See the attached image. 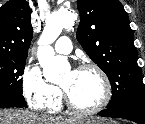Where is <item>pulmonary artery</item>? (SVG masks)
Listing matches in <instances>:
<instances>
[{
    "mask_svg": "<svg viewBox=\"0 0 145 124\" xmlns=\"http://www.w3.org/2000/svg\"><path fill=\"white\" fill-rule=\"evenodd\" d=\"M55 51L59 54H69L72 51V43L68 37H60L55 44Z\"/></svg>",
    "mask_w": 145,
    "mask_h": 124,
    "instance_id": "e3ab8cb5",
    "label": "pulmonary artery"
}]
</instances>
